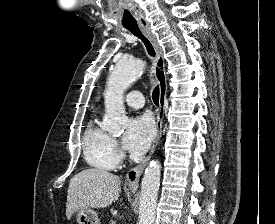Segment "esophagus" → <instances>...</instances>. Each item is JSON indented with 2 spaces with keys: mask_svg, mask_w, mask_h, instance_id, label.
<instances>
[{
  "mask_svg": "<svg viewBox=\"0 0 275 224\" xmlns=\"http://www.w3.org/2000/svg\"><path fill=\"white\" fill-rule=\"evenodd\" d=\"M139 25L142 33L149 39V41L153 45L156 52L154 73L160 89L159 111H158L157 120H156L157 135L153 141L149 154L147 155L146 158H144L141 161V163H139L137 166L129 170L128 173L126 174L125 184L129 188L138 187L139 179L159 143V140L161 137V131H162L163 115H164V110L166 106V98H167V78H166V72H165L163 50L159 45L155 34L151 31L149 23L146 20H144L140 22Z\"/></svg>",
  "mask_w": 275,
  "mask_h": 224,
  "instance_id": "obj_1",
  "label": "esophagus"
}]
</instances>
